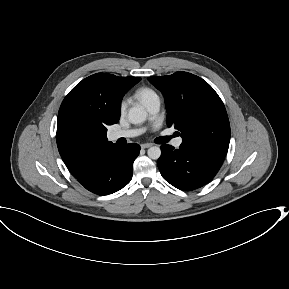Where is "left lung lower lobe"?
Wrapping results in <instances>:
<instances>
[{"label": "left lung lower lobe", "instance_id": "obj_1", "mask_svg": "<svg viewBox=\"0 0 289 289\" xmlns=\"http://www.w3.org/2000/svg\"><path fill=\"white\" fill-rule=\"evenodd\" d=\"M158 168L174 187L190 191L207 184L219 171L225 156L182 142L179 149L161 146Z\"/></svg>", "mask_w": 289, "mask_h": 289}]
</instances>
